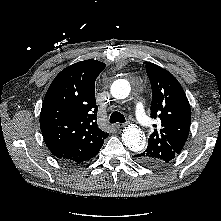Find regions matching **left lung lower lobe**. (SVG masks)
<instances>
[{"label": "left lung lower lobe", "instance_id": "obj_1", "mask_svg": "<svg viewBox=\"0 0 221 221\" xmlns=\"http://www.w3.org/2000/svg\"><path fill=\"white\" fill-rule=\"evenodd\" d=\"M133 157H136V159L139 161V162H141V160L137 157V156H133ZM142 163V162H141Z\"/></svg>", "mask_w": 221, "mask_h": 221}]
</instances>
